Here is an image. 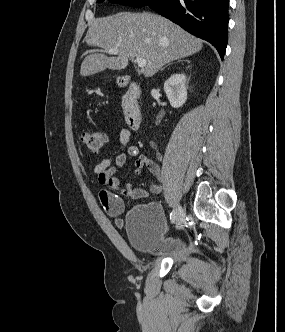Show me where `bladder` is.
Masks as SVG:
<instances>
[{"label": "bladder", "instance_id": "31cf9c89", "mask_svg": "<svg viewBox=\"0 0 285 332\" xmlns=\"http://www.w3.org/2000/svg\"><path fill=\"white\" fill-rule=\"evenodd\" d=\"M125 230L134 250L155 257L180 260L188 254L187 243L166 234V221L159 204L148 202L134 206L125 217Z\"/></svg>", "mask_w": 285, "mask_h": 332}]
</instances>
